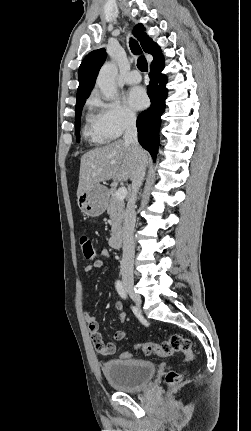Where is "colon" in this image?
Returning <instances> with one entry per match:
<instances>
[{
    "label": "colon",
    "mask_w": 251,
    "mask_h": 431,
    "mask_svg": "<svg viewBox=\"0 0 251 431\" xmlns=\"http://www.w3.org/2000/svg\"><path fill=\"white\" fill-rule=\"evenodd\" d=\"M79 246L86 260H94L96 258L95 248L88 236L81 235L79 237ZM137 348L141 349L147 355H156L159 357H169L174 353L180 352L183 354V360L186 362L191 361L194 357L191 341L179 334H174L163 342L138 344ZM130 356L129 352H122L121 355H116V360H125ZM181 378L179 372L170 370L165 375V382L168 386L173 387L181 381Z\"/></svg>",
    "instance_id": "5ec220e1"
}]
</instances>
